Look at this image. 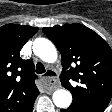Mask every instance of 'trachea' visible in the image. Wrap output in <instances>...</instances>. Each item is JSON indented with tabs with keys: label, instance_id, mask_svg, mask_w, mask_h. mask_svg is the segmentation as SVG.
<instances>
[{
	"label": "trachea",
	"instance_id": "3493384b",
	"mask_svg": "<svg viewBox=\"0 0 112 112\" xmlns=\"http://www.w3.org/2000/svg\"><path fill=\"white\" fill-rule=\"evenodd\" d=\"M45 71H46V70H45L44 65H43L42 63L38 62V63L36 64V73H37V74H43Z\"/></svg>",
	"mask_w": 112,
	"mask_h": 112
}]
</instances>
